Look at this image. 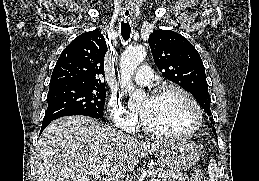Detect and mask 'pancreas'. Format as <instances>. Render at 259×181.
<instances>
[{"mask_svg": "<svg viewBox=\"0 0 259 181\" xmlns=\"http://www.w3.org/2000/svg\"><path fill=\"white\" fill-rule=\"evenodd\" d=\"M148 171L153 176L158 177L162 181H186L188 179L186 174L174 170H164L162 168L149 167Z\"/></svg>", "mask_w": 259, "mask_h": 181, "instance_id": "pancreas-1", "label": "pancreas"}]
</instances>
